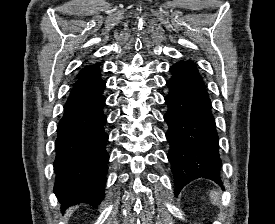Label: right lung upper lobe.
<instances>
[{
	"label": "right lung upper lobe",
	"mask_w": 275,
	"mask_h": 224,
	"mask_svg": "<svg viewBox=\"0 0 275 224\" xmlns=\"http://www.w3.org/2000/svg\"><path fill=\"white\" fill-rule=\"evenodd\" d=\"M98 69H99L98 64L85 66L83 69H81V71L79 72L77 78L80 79V78H83V77H86V76H89V75H92V74L99 73Z\"/></svg>",
	"instance_id": "1"
}]
</instances>
